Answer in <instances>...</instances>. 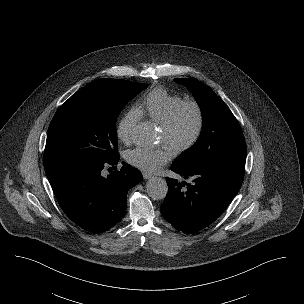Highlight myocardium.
Returning <instances> with one entry per match:
<instances>
[{
    "label": "myocardium",
    "instance_id": "1",
    "mask_svg": "<svg viewBox=\"0 0 304 304\" xmlns=\"http://www.w3.org/2000/svg\"><path fill=\"white\" fill-rule=\"evenodd\" d=\"M187 108L192 109L195 113V128L191 136L186 141L173 145L172 149L176 153H183L190 150L200 140L205 125V116L202 106L195 100H183L170 111L165 120L160 124V128L165 135L170 136L181 113Z\"/></svg>",
    "mask_w": 304,
    "mask_h": 304
}]
</instances>
